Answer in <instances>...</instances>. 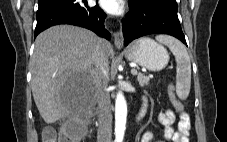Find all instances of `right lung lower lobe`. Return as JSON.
<instances>
[{"label": "right lung lower lobe", "mask_w": 227, "mask_h": 142, "mask_svg": "<svg viewBox=\"0 0 227 142\" xmlns=\"http://www.w3.org/2000/svg\"><path fill=\"white\" fill-rule=\"evenodd\" d=\"M106 14L98 6L88 7L87 0H59L39 6L35 28L36 37L41 31L58 24L77 25L92 30L97 35L110 39L111 34L104 27Z\"/></svg>", "instance_id": "98d812e1"}]
</instances>
